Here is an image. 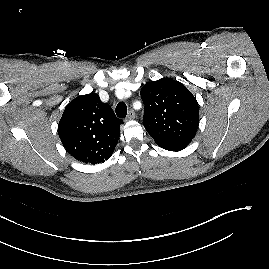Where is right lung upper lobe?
Masks as SVG:
<instances>
[{
  "label": "right lung upper lobe",
  "instance_id": "right-lung-upper-lobe-1",
  "mask_svg": "<svg viewBox=\"0 0 269 269\" xmlns=\"http://www.w3.org/2000/svg\"><path fill=\"white\" fill-rule=\"evenodd\" d=\"M112 108L98 94L79 96L70 102L58 124V134L66 151L79 161L103 163L113 153L120 125Z\"/></svg>",
  "mask_w": 269,
  "mask_h": 269
}]
</instances>
